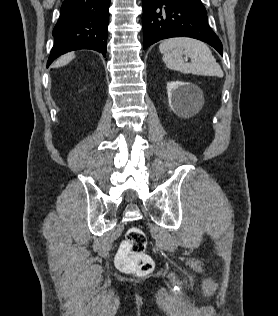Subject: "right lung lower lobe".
<instances>
[{
	"label": "right lung lower lobe",
	"mask_w": 278,
	"mask_h": 316,
	"mask_svg": "<svg viewBox=\"0 0 278 316\" xmlns=\"http://www.w3.org/2000/svg\"><path fill=\"white\" fill-rule=\"evenodd\" d=\"M109 7L110 0H64L47 67L60 55L77 49H93L105 56Z\"/></svg>",
	"instance_id": "right-lung-lower-lobe-1"
}]
</instances>
